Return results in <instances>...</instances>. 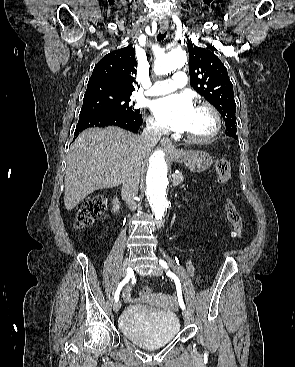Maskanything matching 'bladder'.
<instances>
[{
  "label": "bladder",
  "instance_id": "bladder-1",
  "mask_svg": "<svg viewBox=\"0 0 295 367\" xmlns=\"http://www.w3.org/2000/svg\"><path fill=\"white\" fill-rule=\"evenodd\" d=\"M123 335L145 348H158L171 342L179 333L180 323L170 311L147 304L131 305L119 320Z\"/></svg>",
  "mask_w": 295,
  "mask_h": 367
}]
</instances>
